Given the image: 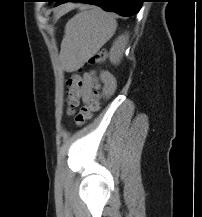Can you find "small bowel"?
I'll list each match as a JSON object with an SVG mask.
<instances>
[{"label":"small bowel","mask_w":202,"mask_h":217,"mask_svg":"<svg viewBox=\"0 0 202 217\" xmlns=\"http://www.w3.org/2000/svg\"><path fill=\"white\" fill-rule=\"evenodd\" d=\"M101 78L105 84V90L108 94H111L116 89V80L115 77L104 71L101 73ZM93 93V77L90 73H85L83 75V88H82V100L85 103H88L92 98Z\"/></svg>","instance_id":"c3829d8e"}]
</instances>
